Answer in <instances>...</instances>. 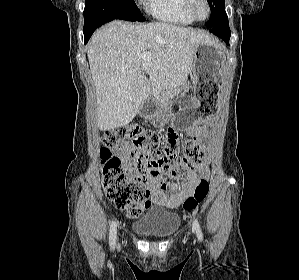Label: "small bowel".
I'll use <instances>...</instances> for the list:
<instances>
[{
	"label": "small bowel",
	"instance_id": "small-bowel-1",
	"mask_svg": "<svg viewBox=\"0 0 299 280\" xmlns=\"http://www.w3.org/2000/svg\"><path fill=\"white\" fill-rule=\"evenodd\" d=\"M189 135L203 138L204 130L199 126H194L189 130ZM133 146L125 144L116 149V152L123 159H130ZM209 177V165L205 161L204 156L195 165L194 169L187 172L179 178H175L168 184L163 180V171L160 167H148L143 173L142 185L148 192L149 201L151 203L174 209L191 196L196 185L203 179ZM167 189L169 193H167Z\"/></svg>",
	"mask_w": 299,
	"mask_h": 280
}]
</instances>
